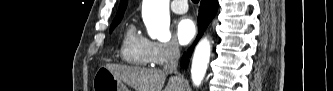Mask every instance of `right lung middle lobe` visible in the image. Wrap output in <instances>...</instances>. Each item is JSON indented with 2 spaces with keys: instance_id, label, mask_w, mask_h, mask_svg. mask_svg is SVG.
<instances>
[{
  "instance_id": "dd1d6c3e",
  "label": "right lung middle lobe",
  "mask_w": 333,
  "mask_h": 91,
  "mask_svg": "<svg viewBox=\"0 0 333 91\" xmlns=\"http://www.w3.org/2000/svg\"><path fill=\"white\" fill-rule=\"evenodd\" d=\"M122 18H117V19H114L112 24H111V27H110V32H112V30L120 23Z\"/></svg>"
}]
</instances>
